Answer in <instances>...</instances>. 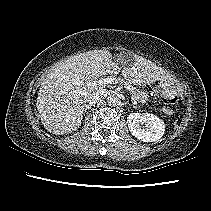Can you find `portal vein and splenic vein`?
Here are the masks:
<instances>
[{"mask_svg": "<svg viewBox=\"0 0 211 211\" xmlns=\"http://www.w3.org/2000/svg\"><path fill=\"white\" fill-rule=\"evenodd\" d=\"M114 81L113 78H104V79H99L96 82H91L89 83V86H101V85H105V84H112V82ZM131 101L133 104H137V100L135 99L134 96L131 97Z\"/></svg>", "mask_w": 211, "mask_h": 211, "instance_id": "18ae733b", "label": "portal vein and splenic vein"}]
</instances>
